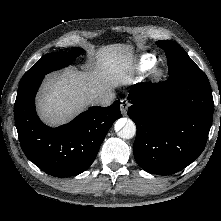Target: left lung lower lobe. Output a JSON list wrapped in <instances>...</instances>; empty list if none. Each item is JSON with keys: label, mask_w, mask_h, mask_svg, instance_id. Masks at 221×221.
Returning a JSON list of instances; mask_svg holds the SVG:
<instances>
[{"label": "left lung lower lobe", "mask_w": 221, "mask_h": 221, "mask_svg": "<svg viewBox=\"0 0 221 221\" xmlns=\"http://www.w3.org/2000/svg\"><path fill=\"white\" fill-rule=\"evenodd\" d=\"M128 116L137 127L133 153L146 172L174 174L203 151L214 103L203 72L171 75L157 83H139L128 96Z\"/></svg>", "instance_id": "0a47b994"}]
</instances>
